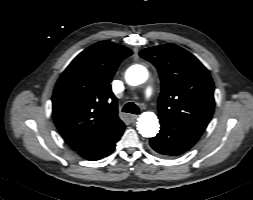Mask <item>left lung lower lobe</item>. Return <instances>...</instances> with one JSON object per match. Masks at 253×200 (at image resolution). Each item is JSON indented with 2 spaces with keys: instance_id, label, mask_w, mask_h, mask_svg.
I'll return each instance as SVG.
<instances>
[{
  "instance_id": "0a47b994",
  "label": "left lung lower lobe",
  "mask_w": 253,
  "mask_h": 200,
  "mask_svg": "<svg viewBox=\"0 0 253 200\" xmlns=\"http://www.w3.org/2000/svg\"><path fill=\"white\" fill-rule=\"evenodd\" d=\"M158 117L161 128L157 136L150 139V146L164 156H178L188 151L204 132L201 127L168 115Z\"/></svg>"
}]
</instances>
